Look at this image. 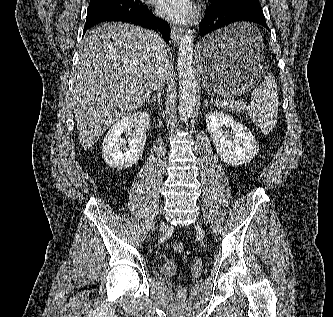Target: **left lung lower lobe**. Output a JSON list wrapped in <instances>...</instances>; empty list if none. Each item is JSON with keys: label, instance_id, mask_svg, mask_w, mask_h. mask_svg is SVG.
<instances>
[{"label": "left lung lower lobe", "instance_id": "1", "mask_svg": "<svg viewBox=\"0 0 333 317\" xmlns=\"http://www.w3.org/2000/svg\"><path fill=\"white\" fill-rule=\"evenodd\" d=\"M235 22H252L268 28L259 3L229 4L225 2L211 3L205 17L199 25V36L233 24ZM270 31V30H269ZM212 51H218L212 49Z\"/></svg>", "mask_w": 333, "mask_h": 317}]
</instances>
